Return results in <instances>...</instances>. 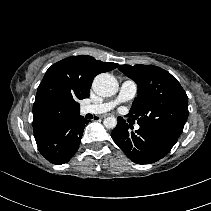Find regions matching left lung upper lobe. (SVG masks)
<instances>
[{
  "label": "left lung upper lobe",
  "mask_w": 211,
  "mask_h": 211,
  "mask_svg": "<svg viewBox=\"0 0 211 211\" xmlns=\"http://www.w3.org/2000/svg\"><path fill=\"white\" fill-rule=\"evenodd\" d=\"M118 68L138 85V96L127 116L175 144L189 113L188 97L180 83L169 72L153 65Z\"/></svg>",
  "instance_id": "5c2ea615"
}]
</instances>
